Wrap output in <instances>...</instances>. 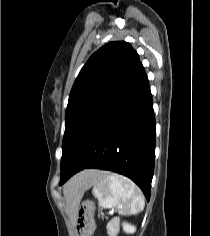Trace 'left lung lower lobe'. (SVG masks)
Segmentation results:
<instances>
[{
  "instance_id": "1",
  "label": "left lung lower lobe",
  "mask_w": 210,
  "mask_h": 236,
  "mask_svg": "<svg viewBox=\"0 0 210 236\" xmlns=\"http://www.w3.org/2000/svg\"><path fill=\"white\" fill-rule=\"evenodd\" d=\"M154 152L155 118L144 71L84 131L61 168L60 185L86 168L110 170L132 179L149 201Z\"/></svg>"
}]
</instances>
